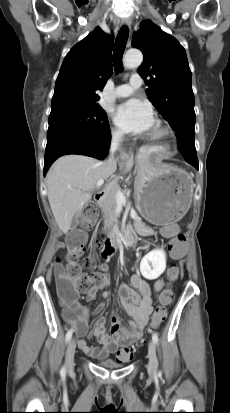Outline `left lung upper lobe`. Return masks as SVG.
Listing matches in <instances>:
<instances>
[{
    "mask_svg": "<svg viewBox=\"0 0 230 413\" xmlns=\"http://www.w3.org/2000/svg\"><path fill=\"white\" fill-rule=\"evenodd\" d=\"M132 46L144 55L138 73L143 79H148V99L173 126L178 141L179 137L189 139L188 147L179 141V150L196 153L192 75L185 49L150 20L141 22Z\"/></svg>",
    "mask_w": 230,
    "mask_h": 413,
    "instance_id": "1",
    "label": "left lung upper lobe"
}]
</instances>
